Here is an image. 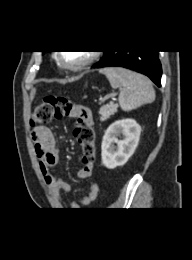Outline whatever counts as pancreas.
Returning a JSON list of instances; mask_svg holds the SVG:
<instances>
[{
  "instance_id": "cf45deb5",
  "label": "pancreas",
  "mask_w": 192,
  "mask_h": 260,
  "mask_svg": "<svg viewBox=\"0 0 192 260\" xmlns=\"http://www.w3.org/2000/svg\"><path fill=\"white\" fill-rule=\"evenodd\" d=\"M117 108V104L103 105L99 110V114L101 115L100 120L105 121L109 119L111 115L117 112Z\"/></svg>"
}]
</instances>
